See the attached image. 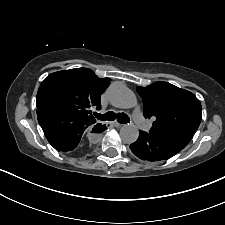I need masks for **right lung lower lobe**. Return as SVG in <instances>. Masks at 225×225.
<instances>
[{
  "mask_svg": "<svg viewBox=\"0 0 225 225\" xmlns=\"http://www.w3.org/2000/svg\"><path fill=\"white\" fill-rule=\"evenodd\" d=\"M38 122L48 142L59 152L81 155L86 152L82 136L87 132H102L105 125H92L84 118L67 113L37 109Z\"/></svg>",
  "mask_w": 225,
  "mask_h": 225,
  "instance_id": "98d812e1",
  "label": "right lung lower lobe"
}]
</instances>
